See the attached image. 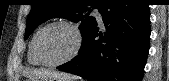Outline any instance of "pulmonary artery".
Instances as JSON below:
<instances>
[{
    "mask_svg": "<svg viewBox=\"0 0 169 81\" xmlns=\"http://www.w3.org/2000/svg\"><path fill=\"white\" fill-rule=\"evenodd\" d=\"M97 19L100 23H102V16L99 13H97Z\"/></svg>",
    "mask_w": 169,
    "mask_h": 81,
    "instance_id": "pulmonary-artery-1",
    "label": "pulmonary artery"
}]
</instances>
